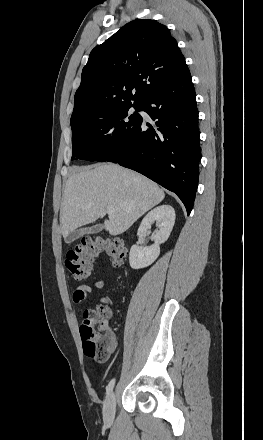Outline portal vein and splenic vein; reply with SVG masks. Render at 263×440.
Here are the masks:
<instances>
[{
    "label": "portal vein and splenic vein",
    "mask_w": 263,
    "mask_h": 440,
    "mask_svg": "<svg viewBox=\"0 0 263 440\" xmlns=\"http://www.w3.org/2000/svg\"><path fill=\"white\" fill-rule=\"evenodd\" d=\"M114 210H115V207H114V206H112V205L107 206V213H108V214L113 213Z\"/></svg>",
    "instance_id": "obj_1"
}]
</instances>
